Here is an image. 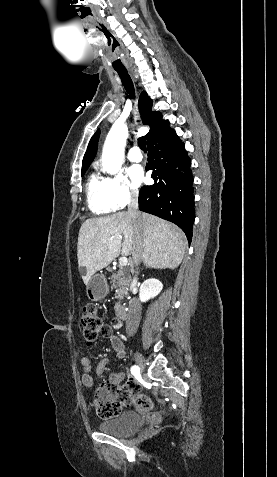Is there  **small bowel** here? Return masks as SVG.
I'll list each match as a JSON object with an SVG mask.
<instances>
[{
	"instance_id": "c3829d8e",
	"label": "small bowel",
	"mask_w": 277,
	"mask_h": 477,
	"mask_svg": "<svg viewBox=\"0 0 277 477\" xmlns=\"http://www.w3.org/2000/svg\"><path fill=\"white\" fill-rule=\"evenodd\" d=\"M120 327H121V323L115 319L112 321V326H108V325L103 326L102 335L105 338H107L109 344L114 350L115 356L119 359H122L125 357V354H126L125 345L122 342V340L113 332V328L118 329ZM80 363L83 369V374L81 378L82 384L87 388H91L94 384L91 360L88 357H83L81 358ZM109 363H110V360L108 358L101 360L96 367V374L101 375ZM125 378H127V374L124 372L113 373L110 376V380H112L113 382L117 384H119ZM128 382L134 383L139 389V385L134 380L130 379Z\"/></svg>"
}]
</instances>
